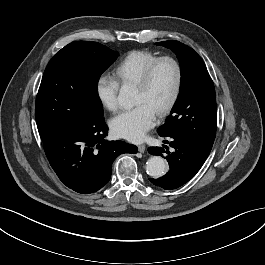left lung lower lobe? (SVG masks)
Here are the masks:
<instances>
[{
	"mask_svg": "<svg viewBox=\"0 0 265 265\" xmlns=\"http://www.w3.org/2000/svg\"><path fill=\"white\" fill-rule=\"evenodd\" d=\"M167 138L170 139V146L173 148V152H170L168 147L164 146L167 148L166 153L168 154L167 160L170 169L166 175L158 179L149 180L155 186L166 190H172L184 185L193 178L202 167L208 155L202 153L199 148L190 141L178 137ZM164 143H168V141L164 140ZM148 152L152 155L162 156L164 149L149 147Z\"/></svg>",
	"mask_w": 265,
	"mask_h": 265,
	"instance_id": "1",
	"label": "left lung lower lobe"
}]
</instances>
